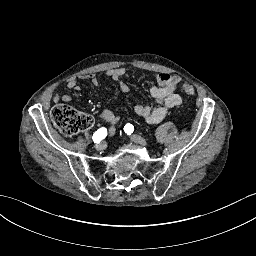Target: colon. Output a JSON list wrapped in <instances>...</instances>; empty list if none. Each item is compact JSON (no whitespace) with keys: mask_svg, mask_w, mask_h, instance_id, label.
I'll return each instance as SVG.
<instances>
[{"mask_svg":"<svg viewBox=\"0 0 256 256\" xmlns=\"http://www.w3.org/2000/svg\"><path fill=\"white\" fill-rule=\"evenodd\" d=\"M182 90L186 94H193V87L189 83L183 82ZM51 117L54 125L67 136L87 130L93 124V119L89 115L66 104L57 105L53 109Z\"/></svg>","mask_w":256,"mask_h":256,"instance_id":"obj_1","label":"colon"}]
</instances>
